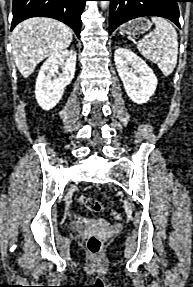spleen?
<instances>
[{"instance_id": "1", "label": "spleen", "mask_w": 193, "mask_h": 287, "mask_svg": "<svg viewBox=\"0 0 193 287\" xmlns=\"http://www.w3.org/2000/svg\"><path fill=\"white\" fill-rule=\"evenodd\" d=\"M152 21L155 29L138 41L137 49L146 59L157 64L165 76H168L177 64V33L172 24L164 18L153 17Z\"/></svg>"}]
</instances>
